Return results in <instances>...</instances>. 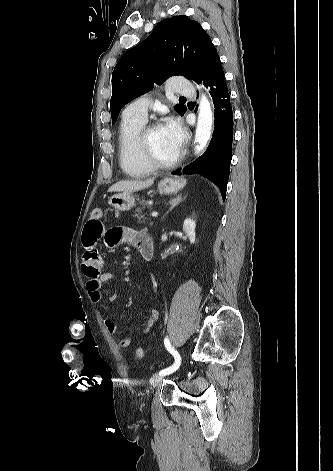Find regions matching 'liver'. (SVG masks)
<instances>
[{
	"label": "liver",
	"mask_w": 333,
	"mask_h": 471,
	"mask_svg": "<svg viewBox=\"0 0 333 471\" xmlns=\"http://www.w3.org/2000/svg\"><path fill=\"white\" fill-rule=\"evenodd\" d=\"M154 183V178L146 181H119L110 187V192H135L150 187Z\"/></svg>",
	"instance_id": "1"
}]
</instances>
